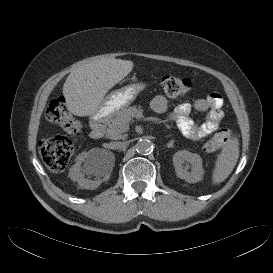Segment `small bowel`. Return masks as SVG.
Returning a JSON list of instances; mask_svg holds the SVG:
<instances>
[{
	"mask_svg": "<svg viewBox=\"0 0 273 273\" xmlns=\"http://www.w3.org/2000/svg\"><path fill=\"white\" fill-rule=\"evenodd\" d=\"M167 106L166 98L160 95L154 97L149 103L150 109L157 113L166 111ZM222 106V95L218 92H211L207 96L197 99L193 105L188 103L179 105L173 112L172 119L186 136L199 140L219 128L224 118ZM192 107L198 111H207L206 118L202 123H195L189 117Z\"/></svg>",
	"mask_w": 273,
	"mask_h": 273,
	"instance_id": "1",
	"label": "small bowel"
}]
</instances>
